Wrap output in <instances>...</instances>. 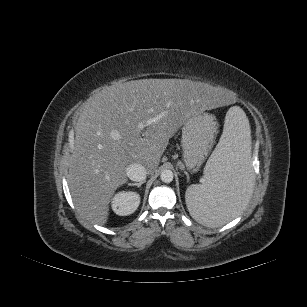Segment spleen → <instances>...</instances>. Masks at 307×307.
Instances as JSON below:
<instances>
[{"label":"spleen","instance_id":"1","mask_svg":"<svg viewBox=\"0 0 307 307\" xmlns=\"http://www.w3.org/2000/svg\"><path fill=\"white\" fill-rule=\"evenodd\" d=\"M250 125L238 107L228 110L222 136L204 168L201 184L189 186L185 201L191 216L215 228L238 216L253 193Z\"/></svg>","mask_w":307,"mask_h":307}]
</instances>
